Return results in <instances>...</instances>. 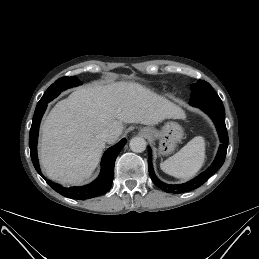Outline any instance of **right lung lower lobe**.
Listing matches in <instances>:
<instances>
[{
  "label": "right lung lower lobe",
  "instance_id": "98d812e1",
  "mask_svg": "<svg viewBox=\"0 0 259 259\" xmlns=\"http://www.w3.org/2000/svg\"><path fill=\"white\" fill-rule=\"evenodd\" d=\"M47 103L43 105H38L35 109V113L32 120V126L30 130V137H29V147L31 153V159L36 171L43 177L40 168L39 162L37 157V138H38V130L41 118L46 110ZM126 143V139H122L116 145L110 147L103 155L102 162H101V173L99 177L93 181L92 183L82 186V187H71L66 188L59 184H55L54 182L47 180L45 177L44 179L46 182L57 192L61 195L77 199V200H85L100 196L105 194L107 191L110 190L113 177H114V164L115 160L120 153L121 149Z\"/></svg>",
  "mask_w": 259,
  "mask_h": 259
}]
</instances>
